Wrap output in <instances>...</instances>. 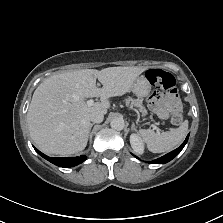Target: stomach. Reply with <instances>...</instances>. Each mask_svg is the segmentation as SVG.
<instances>
[{"label":"stomach","mask_w":223,"mask_h":223,"mask_svg":"<svg viewBox=\"0 0 223 223\" xmlns=\"http://www.w3.org/2000/svg\"><path fill=\"white\" fill-rule=\"evenodd\" d=\"M152 84L147 76L144 74L136 79L132 86V91L136 94H140L147 97L151 92Z\"/></svg>","instance_id":"1"}]
</instances>
